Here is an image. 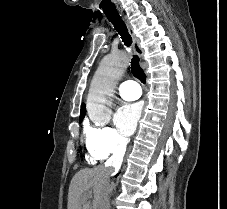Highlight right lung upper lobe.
<instances>
[{
	"label": "right lung upper lobe",
	"instance_id": "obj_1",
	"mask_svg": "<svg viewBox=\"0 0 227 209\" xmlns=\"http://www.w3.org/2000/svg\"><path fill=\"white\" fill-rule=\"evenodd\" d=\"M85 112H86L85 104L82 103V104H81L80 119H83V118H84Z\"/></svg>",
	"mask_w": 227,
	"mask_h": 209
}]
</instances>
